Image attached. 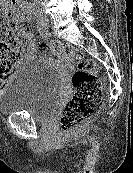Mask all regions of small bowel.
<instances>
[{
    "label": "small bowel",
    "mask_w": 133,
    "mask_h": 173,
    "mask_svg": "<svg viewBox=\"0 0 133 173\" xmlns=\"http://www.w3.org/2000/svg\"><path fill=\"white\" fill-rule=\"evenodd\" d=\"M18 54L26 58H33L36 55V44L33 34L23 32L20 34V40L15 44Z\"/></svg>",
    "instance_id": "c3829d8e"
}]
</instances>
